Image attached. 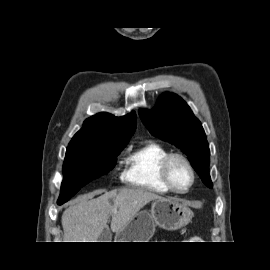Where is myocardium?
Masks as SVG:
<instances>
[{"label":"myocardium","mask_w":270,"mask_h":270,"mask_svg":"<svg viewBox=\"0 0 270 270\" xmlns=\"http://www.w3.org/2000/svg\"><path fill=\"white\" fill-rule=\"evenodd\" d=\"M175 161L182 162L190 172L191 181H190V184L188 185V187H186L185 189L178 188L172 180L171 166H172L173 162H175ZM161 176H162V179H163L165 185L170 189V191L177 193V194H185V193L189 192L191 190V188L194 186L195 180H196V173H195V169H194L193 165L191 164V162L189 161V159L186 156H184L180 153H171L164 158V160L162 161V164H161Z\"/></svg>","instance_id":"obj_1"}]
</instances>
